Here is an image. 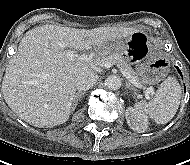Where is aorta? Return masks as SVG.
<instances>
[{"instance_id": "obj_1", "label": "aorta", "mask_w": 190, "mask_h": 165, "mask_svg": "<svg viewBox=\"0 0 190 165\" xmlns=\"http://www.w3.org/2000/svg\"><path fill=\"white\" fill-rule=\"evenodd\" d=\"M105 85L109 90H118L122 85V80L119 76L110 75L106 78Z\"/></svg>"}]
</instances>
